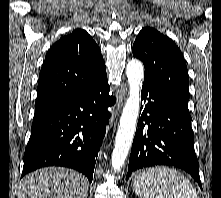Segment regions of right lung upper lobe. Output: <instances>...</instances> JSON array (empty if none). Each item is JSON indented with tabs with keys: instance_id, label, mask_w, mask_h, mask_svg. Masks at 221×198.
<instances>
[{
	"instance_id": "right-lung-upper-lobe-1",
	"label": "right lung upper lobe",
	"mask_w": 221,
	"mask_h": 198,
	"mask_svg": "<svg viewBox=\"0 0 221 198\" xmlns=\"http://www.w3.org/2000/svg\"><path fill=\"white\" fill-rule=\"evenodd\" d=\"M107 77L100 48L82 29L62 37L48 51L42 65L35 115L88 89Z\"/></svg>"
}]
</instances>
